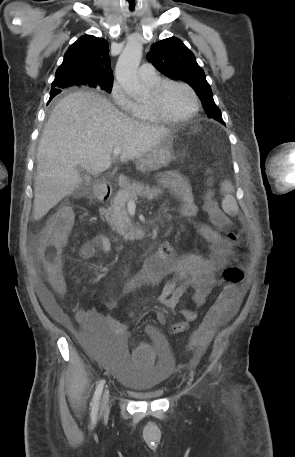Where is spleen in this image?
<instances>
[{
  "instance_id": "1",
  "label": "spleen",
  "mask_w": 295,
  "mask_h": 457,
  "mask_svg": "<svg viewBox=\"0 0 295 457\" xmlns=\"http://www.w3.org/2000/svg\"><path fill=\"white\" fill-rule=\"evenodd\" d=\"M221 189L224 193H226V196L222 201V208L227 214L234 215L238 211V205L231 194L233 192V186L229 181H224L221 184Z\"/></svg>"
}]
</instances>
